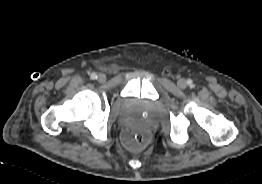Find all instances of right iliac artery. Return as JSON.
<instances>
[{
  "mask_svg": "<svg viewBox=\"0 0 262 184\" xmlns=\"http://www.w3.org/2000/svg\"><path fill=\"white\" fill-rule=\"evenodd\" d=\"M90 77H91V79L95 80V79H97V74L96 73H92L90 75Z\"/></svg>",
  "mask_w": 262,
  "mask_h": 184,
  "instance_id": "right-iliac-artery-1",
  "label": "right iliac artery"
}]
</instances>
